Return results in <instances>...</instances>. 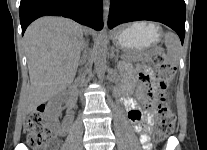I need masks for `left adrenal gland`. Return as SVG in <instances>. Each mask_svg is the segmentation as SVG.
Segmentation results:
<instances>
[{
    "label": "left adrenal gland",
    "mask_w": 207,
    "mask_h": 150,
    "mask_svg": "<svg viewBox=\"0 0 207 150\" xmlns=\"http://www.w3.org/2000/svg\"><path fill=\"white\" fill-rule=\"evenodd\" d=\"M111 58H113L114 62L118 64V55L115 54V50L112 51Z\"/></svg>",
    "instance_id": "left-adrenal-gland-1"
}]
</instances>
